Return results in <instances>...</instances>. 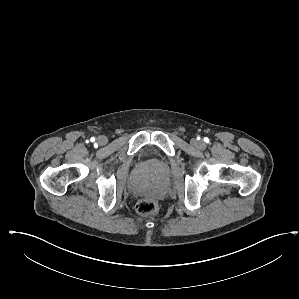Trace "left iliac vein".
<instances>
[{
  "instance_id": "left-iliac-vein-1",
  "label": "left iliac vein",
  "mask_w": 299,
  "mask_h": 299,
  "mask_svg": "<svg viewBox=\"0 0 299 299\" xmlns=\"http://www.w3.org/2000/svg\"><path fill=\"white\" fill-rule=\"evenodd\" d=\"M192 145L195 146L198 149H204L205 148V143L203 141H198V140H192Z\"/></svg>"
}]
</instances>
